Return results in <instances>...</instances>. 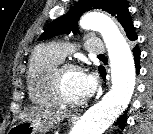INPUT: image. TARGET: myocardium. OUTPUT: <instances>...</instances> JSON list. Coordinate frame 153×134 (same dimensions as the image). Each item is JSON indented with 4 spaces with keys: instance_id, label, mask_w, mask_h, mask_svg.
Wrapping results in <instances>:
<instances>
[{
    "instance_id": "1",
    "label": "myocardium",
    "mask_w": 153,
    "mask_h": 134,
    "mask_svg": "<svg viewBox=\"0 0 153 134\" xmlns=\"http://www.w3.org/2000/svg\"><path fill=\"white\" fill-rule=\"evenodd\" d=\"M66 70H75V71L81 72L82 68L79 65L71 63V62H63L58 64L54 68L52 72V76H51L53 93L57 101L59 102V104L65 105V106H79L84 103V100H71V99H68L63 93L62 75L64 71Z\"/></svg>"
}]
</instances>
